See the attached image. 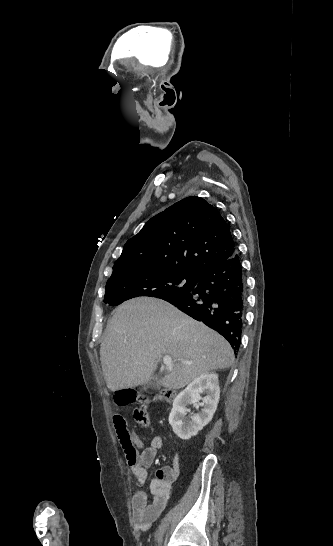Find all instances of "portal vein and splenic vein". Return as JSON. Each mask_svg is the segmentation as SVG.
Wrapping results in <instances>:
<instances>
[{"label":"portal vein and splenic vein","mask_w":333,"mask_h":546,"mask_svg":"<svg viewBox=\"0 0 333 546\" xmlns=\"http://www.w3.org/2000/svg\"><path fill=\"white\" fill-rule=\"evenodd\" d=\"M181 362L190 364V362H186V361H181ZM163 363H164L166 366H172V363H173L172 357L169 356V355H165V356L163 357Z\"/></svg>","instance_id":"portal-vein-and-splenic-vein-1"}]
</instances>
